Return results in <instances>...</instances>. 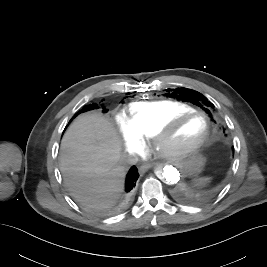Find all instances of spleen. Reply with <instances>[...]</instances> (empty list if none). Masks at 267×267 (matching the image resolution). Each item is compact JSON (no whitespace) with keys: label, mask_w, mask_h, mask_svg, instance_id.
Returning a JSON list of instances; mask_svg holds the SVG:
<instances>
[{"label":"spleen","mask_w":267,"mask_h":267,"mask_svg":"<svg viewBox=\"0 0 267 267\" xmlns=\"http://www.w3.org/2000/svg\"><path fill=\"white\" fill-rule=\"evenodd\" d=\"M209 180V178H200L198 180H196V184L197 185H204L205 183H207Z\"/></svg>","instance_id":"obj_1"}]
</instances>
